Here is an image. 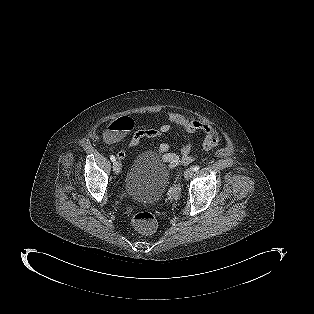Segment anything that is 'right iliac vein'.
Instances as JSON below:
<instances>
[{"label":"right iliac vein","mask_w":314,"mask_h":314,"mask_svg":"<svg viewBox=\"0 0 314 314\" xmlns=\"http://www.w3.org/2000/svg\"><path fill=\"white\" fill-rule=\"evenodd\" d=\"M121 167H120V163L118 161H115L113 163V171L116 175H118L120 173Z\"/></svg>","instance_id":"1"}]
</instances>
